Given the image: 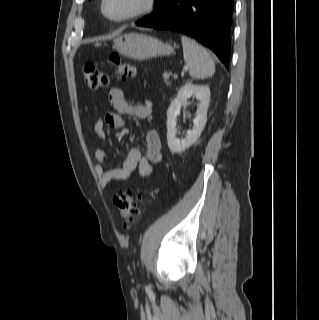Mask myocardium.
I'll list each match as a JSON object with an SVG mask.
<instances>
[{"label":"myocardium","instance_id":"1","mask_svg":"<svg viewBox=\"0 0 319 320\" xmlns=\"http://www.w3.org/2000/svg\"><path fill=\"white\" fill-rule=\"evenodd\" d=\"M106 3H107V0H101V3H100V10H101L103 16L107 20H109L113 23H118V24L125 23V22L146 16V15H149L150 13H152L155 10V8L157 6V0H142V3L135 10H133L132 12H130L122 17L116 18V17H113L107 13Z\"/></svg>","mask_w":319,"mask_h":320}]
</instances>
